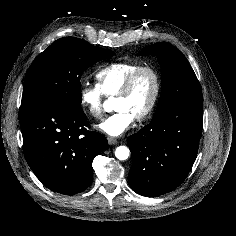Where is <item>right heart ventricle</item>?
<instances>
[{
  "mask_svg": "<svg viewBox=\"0 0 236 236\" xmlns=\"http://www.w3.org/2000/svg\"><path fill=\"white\" fill-rule=\"evenodd\" d=\"M140 66L142 64L135 61L110 63L95 74L97 86L105 97H114L129 75Z\"/></svg>",
  "mask_w": 236,
  "mask_h": 236,
  "instance_id": "1",
  "label": "right heart ventricle"
}]
</instances>
